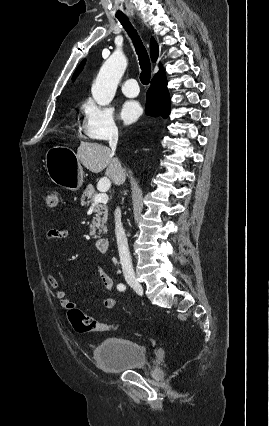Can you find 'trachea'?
Segmentation results:
<instances>
[{
  "mask_svg": "<svg viewBox=\"0 0 269 426\" xmlns=\"http://www.w3.org/2000/svg\"><path fill=\"white\" fill-rule=\"evenodd\" d=\"M124 29L128 32L131 37L133 44L136 49V53L139 58V64L141 67L140 81L144 85H148L151 77V64L149 60L148 53L144 47L140 37L137 34V31L132 27L129 19L127 17L118 18Z\"/></svg>",
  "mask_w": 269,
  "mask_h": 426,
  "instance_id": "obj_1",
  "label": "trachea"
}]
</instances>
